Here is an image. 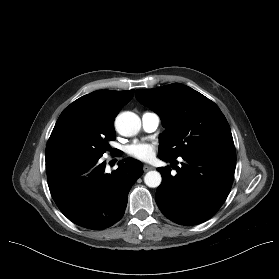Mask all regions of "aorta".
I'll return each mask as SVG.
<instances>
[{
    "label": "aorta",
    "instance_id": "aorta-1",
    "mask_svg": "<svg viewBox=\"0 0 279 279\" xmlns=\"http://www.w3.org/2000/svg\"><path fill=\"white\" fill-rule=\"evenodd\" d=\"M115 127L120 135L131 137L140 131L141 120L135 113L125 111L116 117ZM161 181V174L158 171H149L144 176V182L150 188L158 187L161 184Z\"/></svg>",
    "mask_w": 279,
    "mask_h": 279
}]
</instances>
